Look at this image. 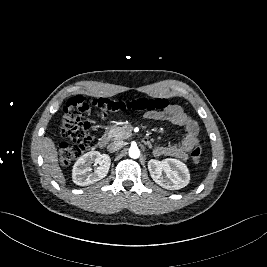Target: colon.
Listing matches in <instances>:
<instances>
[{
    "label": "colon",
    "mask_w": 267,
    "mask_h": 267,
    "mask_svg": "<svg viewBox=\"0 0 267 267\" xmlns=\"http://www.w3.org/2000/svg\"><path fill=\"white\" fill-rule=\"evenodd\" d=\"M172 103L166 98H140L133 101H113L107 98L89 100L84 96H75L67 100L60 116V131L68 142L58 145L59 163L69 166L83 155L91 142V124L87 119L94 111L103 117L117 115L122 112L159 113L167 110ZM203 149L196 145L191 152V159L198 163Z\"/></svg>",
    "instance_id": "5ec220e1"
}]
</instances>
